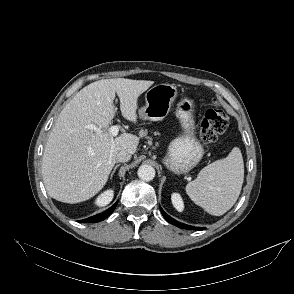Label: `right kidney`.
Listing matches in <instances>:
<instances>
[{
  "label": "right kidney",
  "instance_id": "1",
  "mask_svg": "<svg viewBox=\"0 0 294 294\" xmlns=\"http://www.w3.org/2000/svg\"><path fill=\"white\" fill-rule=\"evenodd\" d=\"M113 195H114L113 190L111 189L106 190L97 197V199L95 200V204L101 207L106 206L112 201Z\"/></svg>",
  "mask_w": 294,
  "mask_h": 294
}]
</instances>
